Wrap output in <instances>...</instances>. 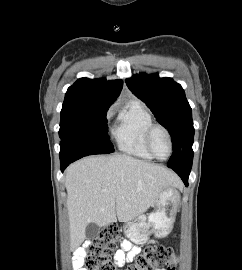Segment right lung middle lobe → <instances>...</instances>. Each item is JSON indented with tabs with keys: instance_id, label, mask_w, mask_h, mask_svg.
<instances>
[{
	"instance_id": "dd1d6c3e",
	"label": "right lung middle lobe",
	"mask_w": 242,
	"mask_h": 270,
	"mask_svg": "<svg viewBox=\"0 0 242 270\" xmlns=\"http://www.w3.org/2000/svg\"><path fill=\"white\" fill-rule=\"evenodd\" d=\"M107 110L108 108L61 110L59 130L61 162L114 151L107 135Z\"/></svg>"
}]
</instances>
